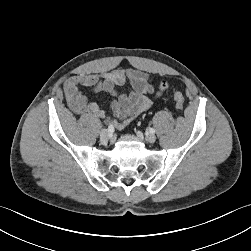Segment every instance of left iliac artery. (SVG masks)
Instances as JSON below:
<instances>
[{
	"label": "left iliac artery",
	"instance_id": "1",
	"mask_svg": "<svg viewBox=\"0 0 251 251\" xmlns=\"http://www.w3.org/2000/svg\"><path fill=\"white\" fill-rule=\"evenodd\" d=\"M148 130H149V132H150L151 134H154V133H155V129H153V128H149Z\"/></svg>",
	"mask_w": 251,
	"mask_h": 251
}]
</instances>
